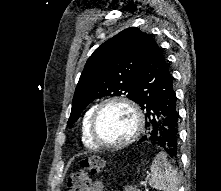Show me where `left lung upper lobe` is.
I'll return each mask as SVG.
<instances>
[{"instance_id": "1", "label": "left lung upper lobe", "mask_w": 221, "mask_h": 191, "mask_svg": "<svg viewBox=\"0 0 221 191\" xmlns=\"http://www.w3.org/2000/svg\"><path fill=\"white\" fill-rule=\"evenodd\" d=\"M151 39L138 28H127L93 52L77 84L68 126L97 98L124 95L136 102L137 80Z\"/></svg>"}]
</instances>
